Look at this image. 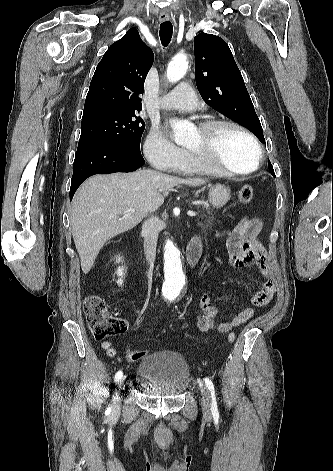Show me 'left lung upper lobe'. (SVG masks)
<instances>
[{"instance_id":"5c2ea615","label":"left lung upper lobe","mask_w":333,"mask_h":471,"mask_svg":"<svg viewBox=\"0 0 333 471\" xmlns=\"http://www.w3.org/2000/svg\"><path fill=\"white\" fill-rule=\"evenodd\" d=\"M194 52L196 85L203 100L265 143L260 120L226 42L218 36L202 32L194 38ZM268 168L275 177L270 162Z\"/></svg>"}]
</instances>
